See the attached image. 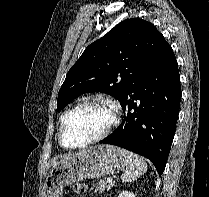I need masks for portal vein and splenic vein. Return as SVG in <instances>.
<instances>
[{
  "label": "portal vein and splenic vein",
  "instance_id": "portal-vein-and-splenic-vein-1",
  "mask_svg": "<svg viewBox=\"0 0 209 197\" xmlns=\"http://www.w3.org/2000/svg\"><path fill=\"white\" fill-rule=\"evenodd\" d=\"M107 182H108V183H113V179H112V178H108V179H107Z\"/></svg>",
  "mask_w": 209,
  "mask_h": 197
}]
</instances>
